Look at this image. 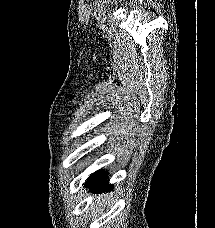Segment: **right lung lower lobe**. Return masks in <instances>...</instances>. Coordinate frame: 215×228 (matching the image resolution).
I'll list each match as a JSON object with an SVG mask.
<instances>
[{
	"label": "right lung lower lobe",
	"instance_id": "1",
	"mask_svg": "<svg viewBox=\"0 0 215 228\" xmlns=\"http://www.w3.org/2000/svg\"><path fill=\"white\" fill-rule=\"evenodd\" d=\"M85 187L89 188L92 192H101L113 188L112 184L108 183L107 172L98 171L93 173L86 181Z\"/></svg>",
	"mask_w": 215,
	"mask_h": 228
}]
</instances>
